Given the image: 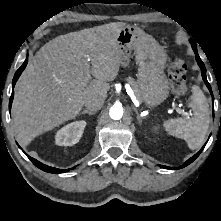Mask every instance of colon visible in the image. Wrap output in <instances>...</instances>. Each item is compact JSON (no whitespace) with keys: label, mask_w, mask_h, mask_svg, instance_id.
<instances>
[{"label":"colon","mask_w":221,"mask_h":221,"mask_svg":"<svg viewBox=\"0 0 221 221\" xmlns=\"http://www.w3.org/2000/svg\"><path fill=\"white\" fill-rule=\"evenodd\" d=\"M188 65L183 59H175L168 66V76L172 90L177 94H185L188 91L186 73Z\"/></svg>","instance_id":"colon-1"}]
</instances>
